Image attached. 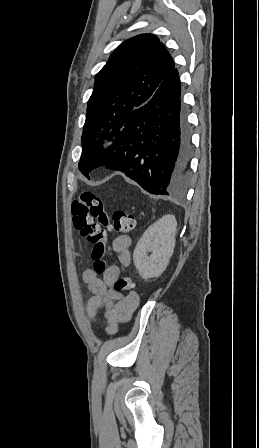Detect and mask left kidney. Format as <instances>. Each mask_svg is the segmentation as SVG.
<instances>
[{"label": "left kidney", "instance_id": "obj_1", "mask_svg": "<svg viewBox=\"0 0 259 448\" xmlns=\"http://www.w3.org/2000/svg\"><path fill=\"white\" fill-rule=\"evenodd\" d=\"M176 218L167 214L144 232L133 254L134 264L143 280L159 278L166 270L175 248ZM147 252H152L147 256Z\"/></svg>", "mask_w": 259, "mask_h": 448}]
</instances>
